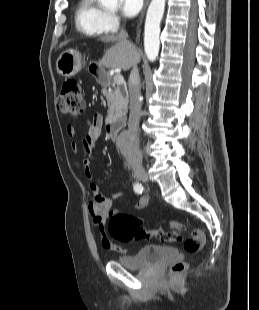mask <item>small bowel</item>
<instances>
[{
    "instance_id": "c3829d8e",
    "label": "small bowel",
    "mask_w": 259,
    "mask_h": 310,
    "mask_svg": "<svg viewBox=\"0 0 259 310\" xmlns=\"http://www.w3.org/2000/svg\"><path fill=\"white\" fill-rule=\"evenodd\" d=\"M103 126L102 115L96 113L88 122V127L86 133L82 137L81 146L86 154V158L83 160L82 170L83 174L89 180V189L91 191V198L88 204V210L92 217L93 224L98 233L100 242L102 246L109 249L115 253L124 254L126 249L120 247L118 244L113 242L107 233L105 226L107 218L111 217L113 214L117 213L113 209V199L109 196L100 193L99 185L93 179L91 163L94 161V150L96 142L100 136ZM69 138L76 137V131L74 127L68 126L66 129ZM71 149L73 152L77 153L79 151V144L73 142L71 144ZM149 203V198L147 196H142L134 205L135 209L142 210L147 207Z\"/></svg>"
}]
</instances>
